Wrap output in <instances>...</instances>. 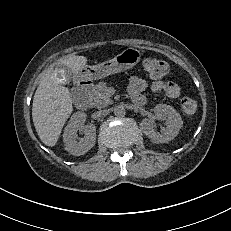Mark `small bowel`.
<instances>
[{
  "instance_id": "small-bowel-1",
  "label": "small bowel",
  "mask_w": 231,
  "mask_h": 231,
  "mask_svg": "<svg viewBox=\"0 0 231 231\" xmlns=\"http://www.w3.org/2000/svg\"><path fill=\"white\" fill-rule=\"evenodd\" d=\"M148 87H150L153 92L165 93V95L171 99H176L180 95V87L175 82L156 80L149 86L147 81L143 78L133 76L129 80V93L133 101L138 102V100H142L144 103L145 98L142 95V92L145 91Z\"/></svg>"
}]
</instances>
